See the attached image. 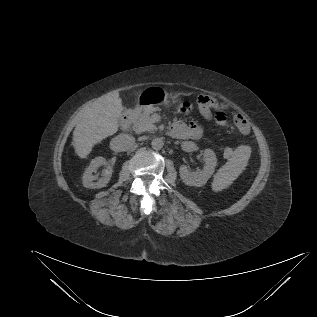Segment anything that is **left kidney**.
I'll return each mask as SVG.
<instances>
[{
  "label": "left kidney",
  "instance_id": "left-kidney-1",
  "mask_svg": "<svg viewBox=\"0 0 317 317\" xmlns=\"http://www.w3.org/2000/svg\"><path fill=\"white\" fill-rule=\"evenodd\" d=\"M204 167L198 174L191 173L186 165H181L179 169L180 177L188 186L202 187L208 179L213 175L217 166L216 155L213 150L205 149L203 153Z\"/></svg>",
  "mask_w": 317,
  "mask_h": 317
}]
</instances>
